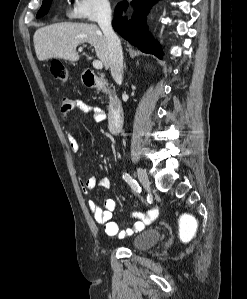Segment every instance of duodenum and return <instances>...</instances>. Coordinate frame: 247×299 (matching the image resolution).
<instances>
[{
  "mask_svg": "<svg viewBox=\"0 0 247 299\" xmlns=\"http://www.w3.org/2000/svg\"><path fill=\"white\" fill-rule=\"evenodd\" d=\"M83 80L86 86L95 88L102 86L104 80L98 77L93 71L85 70L83 74ZM124 120L123 106L119 99L113 98L109 103V112H108V128L112 133L117 132Z\"/></svg>",
  "mask_w": 247,
  "mask_h": 299,
  "instance_id": "duodenum-1",
  "label": "duodenum"
}]
</instances>
